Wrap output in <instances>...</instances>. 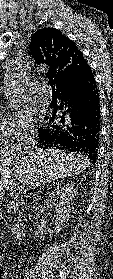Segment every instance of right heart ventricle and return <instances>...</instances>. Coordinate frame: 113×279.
I'll use <instances>...</instances> for the list:
<instances>
[{"label": "right heart ventricle", "mask_w": 113, "mask_h": 279, "mask_svg": "<svg viewBox=\"0 0 113 279\" xmlns=\"http://www.w3.org/2000/svg\"><path fill=\"white\" fill-rule=\"evenodd\" d=\"M8 139L9 137L5 127L4 117L1 114L0 115V145L7 143Z\"/></svg>", "instance_id": "right-heart-ventricle-1"}]
</instances>
